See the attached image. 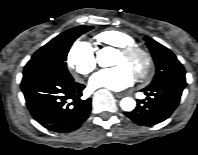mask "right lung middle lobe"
<instances>
[{"instance_id": "right-lung-middle-lobe-1", "label": "right lung middle lobe", "mask_w": 198, "mask_h": 155, "mask_svg": "<svg viewBox=\"0 0 198 155\" xmlns=\"http://www.w3.org/2000/svg\"><path fill=\"white\" fill-rule=\"evenodd\" d=\"M91 29L93 26H78L52 39L35 52L26 64L23 75L37 73L55 76L63 80L73 79L66 68L69 48L76 38Z\"/></svg>"}]
</instances>
